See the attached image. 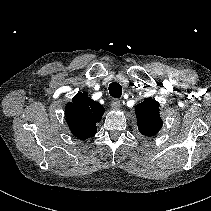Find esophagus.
Segmentation results:
<instances>
[{"instance_id": "esophagus-1", "label": "esophagus", "mask_w": 211, "mask_h": 211, "mask_svg": "<svg viewBox=\"0 0 211 211\" xmlns=\"http://www.w3.org/2000/svg\"><path fill=\"white\" fill-rule=\"evenodd\" d=\"M111 106H112L114 109H119L120 106H121L120 100H118V99H113V100L111 101Z\"/></svg>"}]
</instances>
